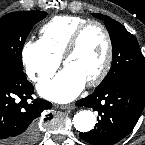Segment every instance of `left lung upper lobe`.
<instances>
[{"mask_svg":"<svg viewBox=\"0 0 145 145\" xmlns=\"http://www.w3.org/2000/svg\"><path fill=\"white\" fill-rule=\"evenodd\" d=\"M93 16L104 20L113 48L111 69L96 89L125 77L145 81V63L136 38L110 17L102 14Z\"/></svg>","mask_w":145,"mask_h":145,"instance_id":"left-lung-upper-lobe-1","label":"left lung upper lobe"}]
</instances>
